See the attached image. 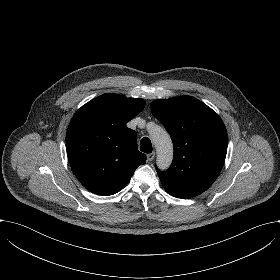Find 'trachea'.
<instances>
[{"mask_svg": "<svg viewBox=\"0 0 280 280\" xmlns=\"http://www.w3.org/2000/svg\"><path fill=\"white\" fill-rule=\"evenodd\" d=\"M140 150L144 153L152 152V144L148 137H143V139H141Z\"/></svg>", "mask_w": 280, "mask_h": 280, "instance_id": "3493384b", "label": "trachea"}]
</instances>
